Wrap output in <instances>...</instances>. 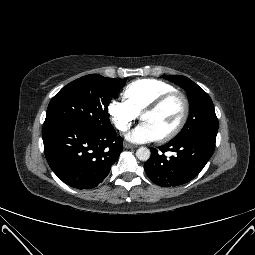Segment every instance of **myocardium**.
Listing matches in <instances>:
<instances>
[{"label":"myocardium","mask_w":255,"mask_h":255,"mask_svg":"<svg viewBox=\"0 0 255 255\" xmlns=\"http://www.w3.org/2000/svg\"><path fill=\"white\" fill-rule=\"evenodd\" d=\"M173 97H179L182 100L183 103V111L180 120L176 124V126L170 130L168 133L164 134L163 136L159 137L160 141H168L172 138H174L184 127L188 116L190 112V103L187 95L180 91V90H172L169 92H166L159 97H157L155 100H153L149 105H147L143 111L141 112V119L144 115L154 112L157 109H159L164 103H166L168 100L172 99Z\"/></svg>","instance_id":"f54148a6"}]
</instances>
